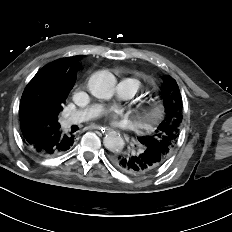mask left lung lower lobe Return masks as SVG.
I'll return each mask as SVG.
<instances>
[{
	"mask_svg": "<svg viewBox=\"0 0 232 232\" xmlns=\"http://www.w3.org/2000/svg\"><path fill=\"white\" fill-rule=\"evenodd\" d=\"M164 156L151 148L141 147L136 154H120L113 158L114 165L124 173L143 176L157 170L164 162Z\"/></svg>",
	"mask_w": 232,
	"mask_h": 232,
	"instance_id": "left-lung-lower-lobe-1",
	"label": "left lung lower lobe"
}]
</instances>
